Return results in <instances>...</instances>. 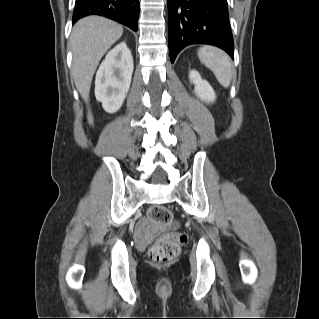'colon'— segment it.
I'll list each match as a JSON object with an SVG mask.
<instances>
[{
  "label": "colon",
  "mask_w": 319,
  "mask_h": 319,
  "mask_svg": "<svg viewBox=\"0 0 319 319\" xmlns=\"http://www.w3.org/2000/svg\"><path fill=\"white\" fill-rule=\"evenodd\" d=\"M172 212L164 205H155L149 210V221L156 224L168 225L172 221ZM187 242L182 233H165L149 249L148 255L153 264H165L175 260Z\"/></svg>",
  "instance_id": "colon-1"
}]
</instances>
